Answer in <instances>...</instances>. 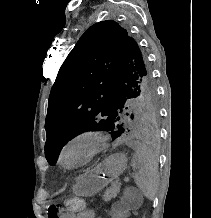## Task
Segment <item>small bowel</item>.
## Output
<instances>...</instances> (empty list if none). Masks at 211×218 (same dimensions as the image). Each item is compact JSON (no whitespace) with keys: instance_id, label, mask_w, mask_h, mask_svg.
<instances>
[{"instance_id":"small-bowel-1","label":"small bowel","mask_w":211,"mask_h":218,"mask_svg":"<svg viewBox=\"0 0 211 218\" xmlns=\"http://www.w3.org/2000/svg\"><path fill=\"white\" fill-rule=\"evenodd\" d=\"M131 209L124 202L114 204L110 211V218H129L131 216ZM76 218H102L94 210L86 209L81 211Z\"/></svg>"}]
</instances>
